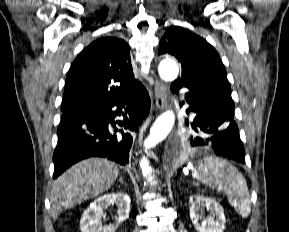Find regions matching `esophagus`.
<instances>
[{"label": "esophagus", "instance_id": "34e87169", "mask_svg": "<svg viewBox=\"0 0 289 232\" xmlns=\"http://www.w3.org/2000/svg\"><path fill=\"white\" fill-rule=\"evenodd\" d=\"M154 95L157 109L164 110L167 107V90L161 81L156 80L154 86Z\"/></svg>", "mask_w": 289, "mask_h": 232}]
</instances>
